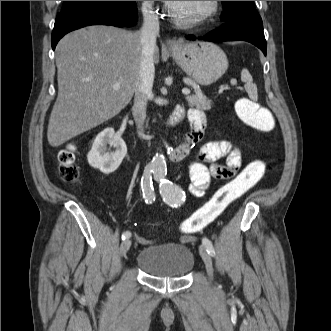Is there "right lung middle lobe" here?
<instances>
[{
  "label": "right lung middle lobe",
  "mask_w": 331,
  "mask_h": 331,
  "mask_svg": "<svg viewBox=\"0 0 331 331\" xmlns=\"http://www.w3.org/2000/svg\"><path fill=\"white\" fill-rule=\"evenodd\" d=\"M100 2H104V1H64L61 12L69 11L80 6L93 4V3H100Z\"/></svg>",
  "instance_id": "right-lung-middle-lobe-1"
}]
</instances>
